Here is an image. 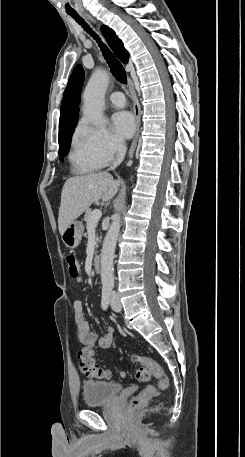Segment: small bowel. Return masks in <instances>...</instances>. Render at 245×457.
Listing matches in <instances>:
<instances>
[{
    "instance_id": "small-bowel-1",
    "label": "small bowel",
    "mask_w": 245,
    "mask_h": 457,
    "mask_svg": "<svg viewBox=\"0 0 245 457\" xmlns=\"http://www.w3.org/2000/svg\"><path fill=\"white\" fill-rule=\"evenodd\" d=\"M76 279L77 281L82 280L79 276ZM73 316L77 328L78 338L84 345L98 346L102 349H106L111 346L113 342L114 328L112 326H107L101 337L92 332L89 323L85 318L83 305L80 300H75L73 302Z\"/></svg>"
}]
</instances>
